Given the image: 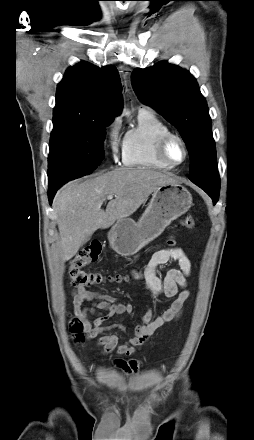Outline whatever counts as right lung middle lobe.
Wrapping results in <instances>:
<instances>
[{
  "instance_id": "dd1d6c3e",
  "label": "right lung middle lobe",
  "mask_w": 254,
  "mask_h": 440,
  "mask_svg": "<svg viewBox=\"0 0 254 440\" xmlns=\"http://www.w3.org/2000/svg\"><path fill=\"white\" fill-rule=\"evenodd\" d=\"M111 122L70 115L53 118L48 157L49 186L88 175L100 165L105 156V127Z\"/></svg>"
}]
</instances>
